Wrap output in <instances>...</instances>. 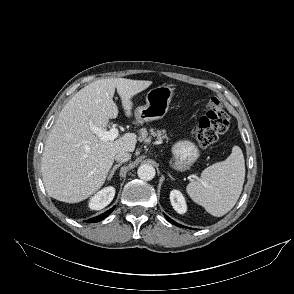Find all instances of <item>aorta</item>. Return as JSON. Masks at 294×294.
I'll return each mask as SVG.
<instances>
[{
	"instance_id": "aorta-1",
	"label": "aorta",
	"mask_w": 294,
	"mask_h": 294,
	"mask_svg": "<svg viewBox=\"0 0 294 294\" xmlns=\"http://www.w3.org/2000/svg\"><path fill=\"white\" fill-rule=\"evenodd\" d=\"M155 168L150 164H142L138 168L137 174L140 179L150 181L155 177Z\"/></svg>"
}]
</instances>
